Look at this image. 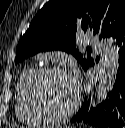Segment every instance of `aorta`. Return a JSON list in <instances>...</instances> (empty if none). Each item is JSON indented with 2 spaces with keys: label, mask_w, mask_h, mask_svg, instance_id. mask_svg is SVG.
I'll return each mask as SVG.
<instances>
[{
  "label": "aorta",
  "mask_w": 125,
  "mask_h": 128,
  "mask_svg": "<svg viewBox=\"0 0 125 128\" xmlns=\"http://www.w3.org/2000/svg\"><path fill=\"white\" fill-rule=\"evenodd\" d=\"M118 69V48L112 38L108 40L100 62L98 84L93 95V105L102 103L112 90Z\"/></svg>",
  "instance_id": "aorta-1"
}]
</instances>
